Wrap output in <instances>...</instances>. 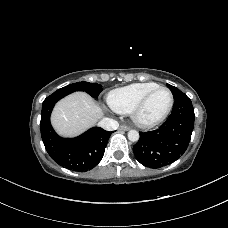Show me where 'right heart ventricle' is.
<instances>
[{
  "instance_id": "1",
  "label": "right heart ventricle",
  "mask_w": 228,
  "mask_h": 228,
  "mask_svg": "<svg viewBox=\"0 0 228 228\" xmlns=\"http://www.w3.org/2000/svg\"><path fill=\"white\" fill-rule=\"evenodd\" d=\"M158 86L155 82H143L113 90L108 95L109 105L118 113L129 114L146 93Z\"/></svg>"
}]
</instances>
